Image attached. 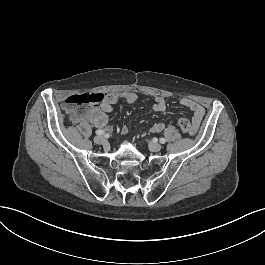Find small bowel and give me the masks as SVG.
I'll return each instance as SVG.
<instances>
[{
  "label": "small bowel",
  "instance_id": "obj_1",
  "mask_svg": "<svg viewBox=\"0 0 265 265\" xmlns=\"http://www.w3.org/2000/svg\"><path fill=\"white\" fill-rule=\"evenodd\" d=\"M137 100V95L130 91H112L105 95L103 101L97 106H91L81 110L79 113H73L72 117L75 122L82 126L92 124L96 128H106L108 124V114L114 105L121 103H134ZM153 110L163 112L166 109L167 99L163 95H157L154 99ZM180 104L192 111L193 115L189 120L191 124L190 134H195L202 122L205 110L204 107L196 100L188 97L180 99ZM165 125L163 123H155L152 126V132H160ZM128 128L123 126L121 134L127 135Z\"/></svg>",
  "mask_w": 265,
  "mask_h": 265
}]
</instances>
